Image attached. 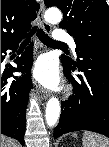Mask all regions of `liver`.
Wrapping results in <instances>:
<instances>
[{
    "label": "liver",
    "mask_w": 109,
    "mask_h": 147,
    "mask_svg": "<svg viewBox=\"0 0 109 147\" xmlns=\"http://www.w3.org/2000/svg\"><path fill=\"white\" fill-rule=\"evenodd\" d=\"M1 147H19V144H18L17 141H15L12 138L2 136V138H1Z\"/></svg>",
    "instance_id": "liver-1"
}]
</instances>
